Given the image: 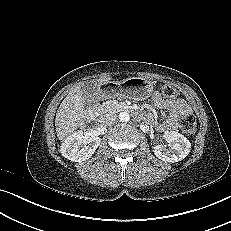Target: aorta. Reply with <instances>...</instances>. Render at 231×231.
<instances>
[{"label": "aorta", "mask_w": 231, "mask_h": 231, "mask_svg": "<svg viewBox=\"0 0 231 231\" xmlns=\"http://www.w3.org/2000/svg\"><path fill=\"white\" fill-rule=\"evenodd\" d=\"M119 120L121 122H128L130 120V115L127 112H121L119 114Z\"/></svg>", "instance_id": "obj_1"}]
</instances>
